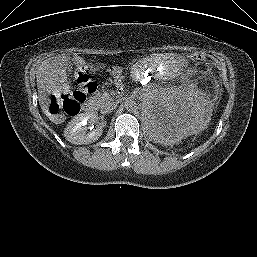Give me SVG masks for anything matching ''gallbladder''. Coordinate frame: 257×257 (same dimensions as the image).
I'll use <instances>...</instances> for the list:
<instances>
[{
  "label": "gallbladder",
  "instance_id": "bac80fb5",
  "mask_svg": "<svg viewBox=\"0 0 257 257\" xmlns=\"http://www.w3.org/2000/svg\"><path fill=\"white\" fill-rule=\"evenodd\" d=\"M55 65L57 66L58 69H61V70H67V71L72 70V63L68 56L59 58L56 61Z\"/></svg>",
  "mask_w": 257,
  "mask_h": 257
}]
</instances>
